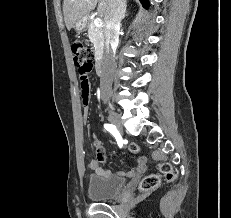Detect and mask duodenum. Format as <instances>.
Wrapping results in <instances>:
<instances>
[{"label": "duodenum", "mask_w": 231, "mask_h": 218, "mask_svg": "<svg viewBox=\"0 0 231 218\" xmlns=\"http://www.w3.org/2000/svg\"><path fill=\"white\" fill-rule=\"evenodd\" d=\"M95 71L96 73L101 76L104 74V64L101 55H98L96 62H95Z\"/></svg>", "instance_id": "410a0bca"}]
</instances>
